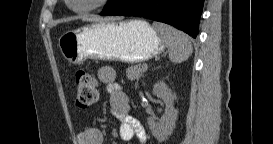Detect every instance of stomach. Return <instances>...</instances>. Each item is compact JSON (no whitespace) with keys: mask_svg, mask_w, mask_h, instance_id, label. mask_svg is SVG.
Returning <instances> with one entry per match:
<instances>
[{"mask_svg":"<svg viewBox=\"0 0 273 144\" xmlns=\"http://www.w3.org/2000/svg\"><path fill=\"white\" fill-rule=\"evenodd\" d=\"M166 45L143 20L102 21L65 32L59 48L70 63L87 59L140 63L162 53Z\"/></svg>","mask_w":273,"mask_h":144,"instance_id":"1","label":"stomach"}]
</instances>
